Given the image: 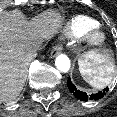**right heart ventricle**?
Instances as JSON below:
<instances>
[{"label":"right heart ventricle","mask_w":117,"mask_h":117,"mask_svg":"<svg viewBox=\"0 0 117 117\" xmlns=\"http://www.w3.org/2000/svg\"><path fill=\"white\" fill-rule=\"evenodd\" d=\"M99 25L98 21L87 15H74L64 25V32L69 37H79L91 27Z\"/></svg>","instance_id":"right-heart-ventricle-1"}]
</instances>
